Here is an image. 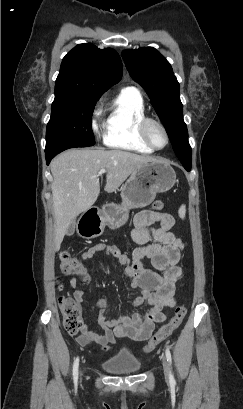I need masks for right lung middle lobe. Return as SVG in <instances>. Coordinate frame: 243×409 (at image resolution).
I'll list each match as a JSON object with an SVG mask.
<instances>
[{
    "label": "right lung middle lobe",
    "mask_w": 243,
    "mask_h": 409,
    "mask_svg": "<svg viewBox=\"0 0 243 409\" xmlns=\"http://www.w3.org/2000/svg\"><path fill=\"white\" fill-rule=\"evenodd\" d=\"M98 98L55 89L51 118L47 125L46 148L55 144L71 147L94 145L91 119Z\"/></svg>",
    "instance_id": "1"
}]
</instances>
